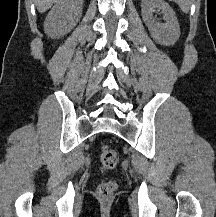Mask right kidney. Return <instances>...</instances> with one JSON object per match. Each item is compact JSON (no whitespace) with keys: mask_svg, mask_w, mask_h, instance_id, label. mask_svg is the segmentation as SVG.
<instances>
[{"mask_svg":"<svg viewBox=\"0 0 216 217\" xmlns=\"http://www.w3.org/2000/svg\"><path fill=\"white\" fill-rule=\"evenodd\" d=\"M83 0H59L48 13L44 31L51 38L70 32L82 15Z\"/></svg>","mask_w":216,"mask_h":217,"instance_id":"right-kidney-1","label":"right kidney"}]
</instances>
